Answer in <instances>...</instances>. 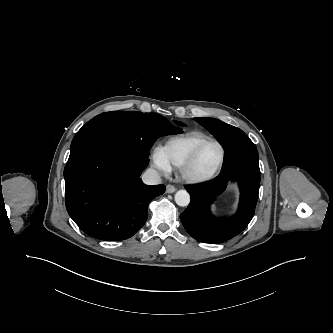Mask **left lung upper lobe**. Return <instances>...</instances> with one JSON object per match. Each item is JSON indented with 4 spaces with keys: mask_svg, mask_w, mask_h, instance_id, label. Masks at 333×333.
I'll use <instances>...</instances> for the list:
<instances>
[{
    "mask_svg": "<svg viewBox=\"0 0 333 333\" xmlns=\"http://www.w3.org/2000/svg\"><path fill=\"white\" fill-rule=\"evenodd\" d=\"M195 121L204 126L208 131H210L215 138L219 141L223 148L227 146L234 138L245 134L239 128L226 124L218 119L214 118H194Z\"/></svg>",
    "mask_w": 333,
    "mask_h": 333,
    "instance_id": "left-lung-upper-lobe-1",
    "label": "left lung upper lobe"
}]
</instances>
